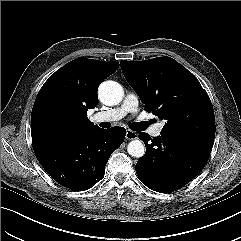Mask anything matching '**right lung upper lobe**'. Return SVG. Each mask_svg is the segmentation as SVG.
<instances>
[{
  "label": "right lung upper lobe",
  "mask_w": 241,
  "mask_h": 241,
  "mask_svg": "<svg viewBox=\"0 0 241 241\" xmlns=\"http://www.w3.org/2000/svg\"><path fill=\"white\" fill-rule=\"evenodd\" d=\"M119 68L118 62L75 59L44 83L31 114L34 150L50 147L99 128L87 110L98 103L97 88Z\"/></svg>",
  "instance_id": "right-lung-upper-lobe-1"
}]
</instances>
